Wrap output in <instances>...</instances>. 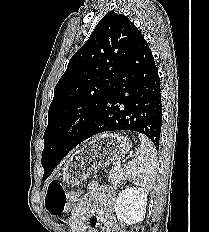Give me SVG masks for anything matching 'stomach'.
Listing matches in <instances>:
<instances>
[{"mask_svg":"<svg viewBox=\"0 0 209 232\" xmlns=\"http://www.w3.org/2000/svg\"><path fill=\"white\" fill-rule=\"evenodd\" d=\"M131 147L125 136L114 133L98 135L66 162L62 170L63 180L68 184L78 185L87 179L92 171L106 167L124 156Z\"/></svg>","mask_w":209,"mask_h":232,"instance_id":"0dacf381","label":"stomach"}]
</instances>
